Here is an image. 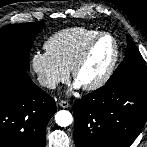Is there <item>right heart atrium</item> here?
Instances as JSON below:
<instances>
[{"label": "right heart atrium", "instance_id": "d8ad5b80", "mask_svg": "<svg viewBox=\"0 0 147 147\" xmlns=\"http://www.w3.org/2000/svg\"><path fill=\"white\" fill-rule=\"evenodd\" d=\"M31 69L39 84L49 90L69 78V70L57 62L48 52H35L31 56Z\"/></svg>", "mask_w": 147, "mask_h": 147}]
</instances>
